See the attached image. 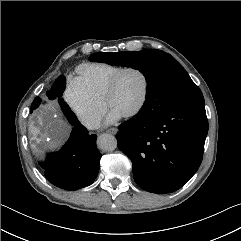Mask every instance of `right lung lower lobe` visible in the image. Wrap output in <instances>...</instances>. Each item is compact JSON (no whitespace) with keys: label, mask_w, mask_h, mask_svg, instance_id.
I'll return each instance as SVG.
<instances>
[{"label":"right lung lower lobe","mask_w":241,"mask_h":241,"mask_svg":"<svg viewBox=\"0 0 241 241\" xmlns=\"http://www.w3.org/2000/svg\"><path fill=\"white\" fill-rule=\"evenodd\" d=\"M70 119L73 130L69 140L60 151L48 154L42 167L50 183L73 191L94 182L100 168L101 153L96 146L97 135H89L76 116Z\"/></svg>","instance_id":"98d812e1"}]
</instances>
